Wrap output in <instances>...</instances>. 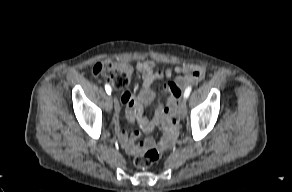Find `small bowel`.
<instances>
[{
  "label": "small bowel",
  "mask_w": 292,
  "mask_h": 192,
  "mask_svg": "<svg viewBox=\"0 0 292 192\" xmlns=\"http://www.w3.org/2000/svg\"><path fill=\"white\" fill-rule=\"evenodd\" d=\"M137 71L141 74L143 80V90L148 89L155 80L170 79L173 72L177 74L174 81L168 82L165 85L164 93L169 94V102L165 111L162 109V104L156 106L155 116L153 120L142 117V106L138 98L133 97L129 92H125L115 105V115L113 123L116 135L122 147L131 155L141 154L148 148L154 146V141L151 139L142 143H137L140 137L139 132H134L128 135L122 126L121 111L122 105H127V117L129 121L138 119L141 129L145 132H151L155 126H158L162 132V137L159 142V147L162 151L167 150L174 142L177 136V124L174 119L177 113V100L181 94V89L186 85L196 83L205 76V69L198 64L178 65L174 69L164 68L156 69V64L153 60H145L138 62L136 65Z\"/></svg>",
  "instance_id": "obj_1"
}]
</instances>
